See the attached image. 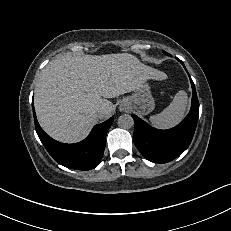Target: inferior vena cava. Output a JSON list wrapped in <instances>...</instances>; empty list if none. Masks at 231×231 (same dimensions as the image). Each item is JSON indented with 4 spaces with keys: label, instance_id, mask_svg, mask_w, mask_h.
Listing matches in <instances>:
<instances>
[{
    "label": "inferior vena cava",
    "instance_id": "1",
    "mask_svg": "<svg viewBox=\"0 0 231 231\" xmlns=\"http://www.w3.org/2000/svg\"><path fill=\"white\" fill-rule=\"evenodd\" d=\"M97 113H98L99 116H101V115L103 114V110H102V109H99V110L97 111Z\"/></svg>",
    "mask_w": 231,
    "mask_h": 231
}]
</instances>
